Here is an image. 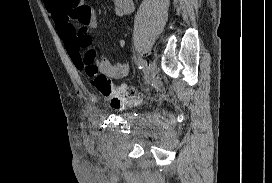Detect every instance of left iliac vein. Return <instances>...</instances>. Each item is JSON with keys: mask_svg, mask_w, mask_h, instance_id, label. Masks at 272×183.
<instances>
[{"mask_svg": "<svg viewBox=\"0 0 272 183\" xmlns=\"http://www.w3.org/2000/svg\"><path fill=\"white\" fill-rule=\"evenodd\" d=\"M149 72H150V76L146 80L147 84H151L155 80V76H156V73H157L156 61L155 60H153L151 62V65L149 67Z\"/></svg>", "mask_w": 272, "mask_h": 183, "instance_id": "obj_1", "label": "left iliac vein"}]
</instances>
